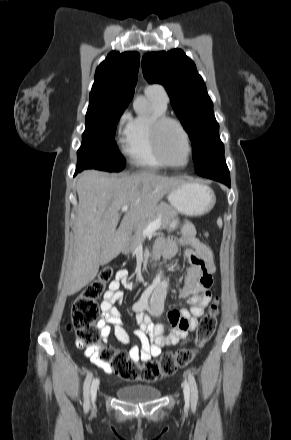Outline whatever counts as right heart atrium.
Wrapping results in <instances>:
<instances>
[{
    "instance_id": "obj_1",
    "label": "right heart atrium",
    "mask_w": 291,
    "mask_h": 440,
    "mask_svg": "<svg viewBox=\"0 0 291 440\" xmlns=\"http://www.w3.org/2000/svg\"><path fill=\"white\" fill-rule=\"evenodd\" d=\"M131 115L128 112H124L118 120L116 133L117 140L120 146H123L130 132Z\"/></svg>"
}]
</instances>
